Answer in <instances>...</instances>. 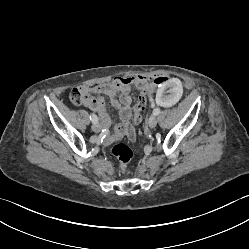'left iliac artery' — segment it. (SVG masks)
Masks as SVG:
<instances>
[{"label":"left iliac artery","mask_w":249,"mask_h":249,"mask_svg":"<svg viewBox=\"0 0 249 249\" xmlns=\"http://www.w3.org/2000/svg\"><path fill=\"white\" fill-rule=\"evenodd\" d=\"M159 114H160V109H159V108H155V109L153 110V115L157 116V115H159Z\"/></svg>","instance_id":"44dca946"}]
</instances>
